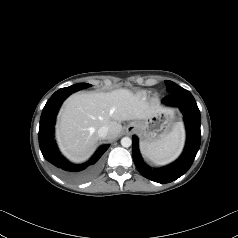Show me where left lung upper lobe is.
Here are the masks:
<instances>
[{
    "label": "left lung upper lobe",
    "mask_w": 238,
    "mask_h": 238,
    "mask_svg": "<svg viewBox=\"0 0 238 238\" xmlns=\"http://www.w3.org/2000/svg\"><path fill=\"white\" fill-rule=\"evenodd\" d=\"M165 84H166V89L169 93L174 92L181 88L180 86H178L177 84L169 80H165Z\"/></svg>",
    "instance_id": "1"
}]
</instances>
